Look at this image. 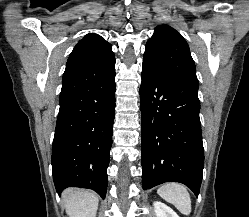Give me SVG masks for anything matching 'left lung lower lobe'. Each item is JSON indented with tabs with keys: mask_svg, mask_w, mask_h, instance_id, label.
<instances>
[{
	"mask_svg": "<svg viewBox=\"0 0 249 217\" xmlns=\"http://www.w3.org/2000/svg\"><path fill=\"white\" fill-rule=\"evenodd\" d=\"M141 76L143 189L180 182L198 196L204 167L198 86L143 66Z\"/></svg>",
	"mask_w": 249,
	"mask_h": 217,
	"instance_id": "1",
	"label": "left lung lower lobe"
}]
</instances>
